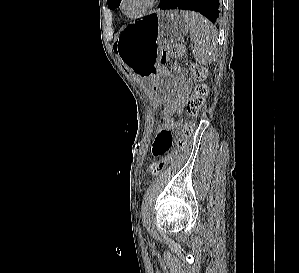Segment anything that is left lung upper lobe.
Here are the masks:
<instances>
[{"instance_id": "1", "label": "left lung upper lobe", "mask_w": 299, "mask_h": 273, "mask_svg": "<svg viewBox=\"0 0 299 273\" xmlns=\"http://www.w3.org/2000/svg\"><path fill=\"white\" fill-rule=\"evenodd\" d=\"M110 9H115L119 6L121 0H107Z\"/></svg>"}]
</instances>
